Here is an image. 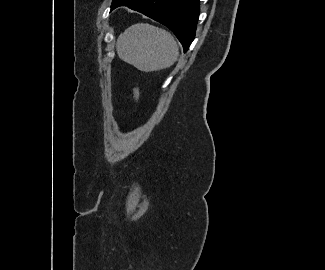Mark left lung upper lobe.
I'll list each match as a JSON object with an SVG mask.
<instances>
[{
	"label": "left lung upper lobe",
	"mask_w": 325,
	"mask_h": 270,
	"mask_svg": "<svg viewBox=\"0 0 325 270\" xmlns=\"http://www.w3.org/2000/svg\"><path fill=\"white\" fill-rule=\"evenodd\" d=\"M118 1H120V0H113L112 1V6H111V8L118 2Z\"/></svg>",
	"instance_id": "obj_1"
}]
</instances>
